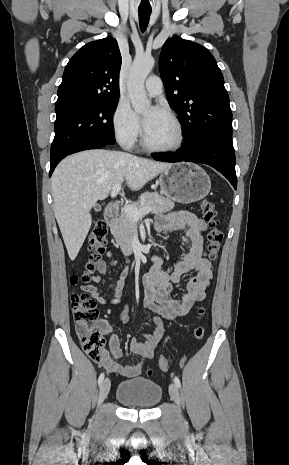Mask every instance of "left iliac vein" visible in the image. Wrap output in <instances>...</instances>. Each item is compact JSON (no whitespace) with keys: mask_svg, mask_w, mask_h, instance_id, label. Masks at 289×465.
Here are the masks:
<instances>
[{"mask_svg":"<svg viewBox=\"0 0 289 465\" xmlns=\"http://www.w3.org/2000/svg\"><path fill=\"white\" fill-rule=\"evenodd\" d=\"M169 394L177 406H180V394L178 387L173 383L169 386Z\"/></svg>","mask_w":289,"mask_h":465,"instance_id":"left-iliac-vein-1","label":"left iliac vein"}]
</instances>
